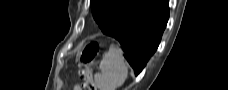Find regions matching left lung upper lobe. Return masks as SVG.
I'll list each match as a JSON object with an SVG mask.
<instances>
[{"label":"left lung upper lobe","instance_id":"1","mask_svg":"<svg viewBox=\"0 0 228 90\" xmlns=\"http://www.w3.org/2000/svg\"><path fill=\"white\" fill-rule=\"evenodd\" d=\"M132 2L133 0H91L90 4L93 17L103 31L129 10Z\"/></svg>","mask_w":228,"mask_h":90}]
</instances>
